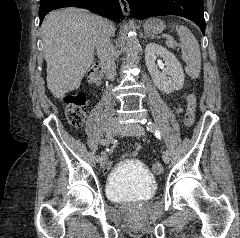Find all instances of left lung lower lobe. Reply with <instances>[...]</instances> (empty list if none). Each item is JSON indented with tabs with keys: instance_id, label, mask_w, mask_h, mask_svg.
Instances as JSON below:
<instances>
[{
	"instance_id": "1",
	"label": "left lung lower lobe",
	"mask_w": 240,
	"mask_h": 238,
	"mask_svg": "<svg viewBox=\"0 0 240 238\" xmlns=\"http://www.w3.org/2000/svg\"><path fill=\"white\" fill-rule=\"evenodd\" d=\"M136 19L177 15L195 22L205 33L203 0H127Z\"/></svg>"
}]
</instances>
